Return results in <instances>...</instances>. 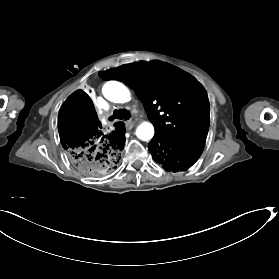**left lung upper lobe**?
Masks as SVG:
<instances>
[{
	"label": "left lung upper lobe",
	"mask_w": 279,
	"mask_h": 279,
	"mask_svg": "<svg viewBox=\"0 0 279 279\" xmlns=\"http://www.w3.org/2000/svg\"><path fill=\"white\" fill-rule=\"evenodd\" d=\"M103 80H119L144 103L155 127L154 139L205 144L209 103L205 90L172 66L137 62L101 72Z\"/></svg>",
	"instance_id": "5c2ea615"
}]
</instances>
